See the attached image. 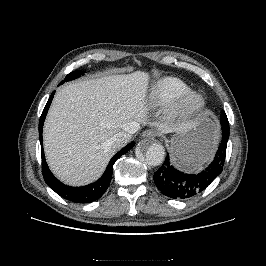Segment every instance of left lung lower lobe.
Returning a JSON list of instances; mask_svg holds the SVG:
<instances>
[{"label": "left lung lower lobe", "mask_w": 266, "mask_h": 266, "mask_svg": "<svg viewBox=\"0 0 266 266\" xmlns=\"http://www.w3.org/2000/svg\"><path fill=\"white\" fill-rule=\"evenodd\" d=\"M222 142L213 162L198 174H186L174 168L169 155L162 166L154 173L157 188L166 196L174 199H186L197 195L222 172L226 147L229 138V123L225 112L221 113Z\"/></svg>", "instance_id": "obj_1"}]
</instances>
